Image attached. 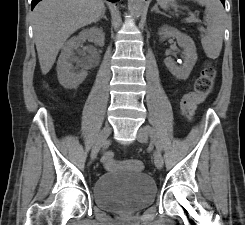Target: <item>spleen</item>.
I'll return each mask as SVG.
<instances>
[{
    "mask_svg": "<svg viewBox=\"0 0 245 225\" xmlns=\"http://www.w3.org/2000/svg\"><path fill=\"white\" fill-rule=\"evenodd\" d=\"M171 0H157V3L163 8L168 7ZM174 1V0H172ZM200 5L205 6V21L207 29L202 34L201 43L207 57L216 59L222 49L223 36L225 30V11L220 0H193Z\"/></svg>",
    "mask_w": 245,
    "mask_h": 225,
    "instance_id": "spleen-1",
    "label": "spleen"
}]
</instances>
